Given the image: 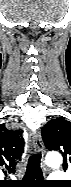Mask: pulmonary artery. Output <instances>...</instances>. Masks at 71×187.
<instances>
[{
  "instance_id": "obj_1",
  "label": "pulmonary artery",
  "mask_w": 71,
  "mask_h": 187,
  "mask_svg": "<svg viewBox=\"0 0 71 187\" xmlns=\"http://www.w3.org/2000/svg\"><path fill=\"white\" fill-rule=\"evenodd\" d=\"M62 173L61 172H53L50 176L49 179L50 180H59L62 179Z\"/></svg>"
}]
</instances>
